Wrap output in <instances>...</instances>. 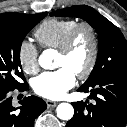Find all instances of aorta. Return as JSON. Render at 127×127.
<instances>
[{"mask_svg":"<svg viewBox=\"0 0 127 127\" xmlns=\"http://www.w3.org/2000/svg\"><path fill=\"white\" fill-rule=\"evenodd\" d=\"M39 65L44 69L52 68V57L50 53L46 50L44 51L38 59ZM57 117L61 120H70L74 115V108L69 103H61L56 108Z\"/></svg>","mask_w":127,"mask_h":127,"instance_id":"762f6f07","label":"aorta"}]
</instances>
